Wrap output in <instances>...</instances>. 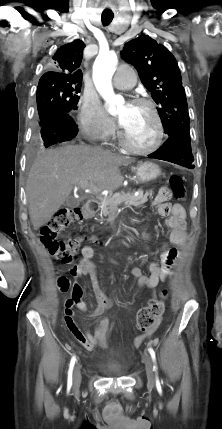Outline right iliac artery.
<instances>
[{
    "mask_svg": "<svg viewBox=\"0 0 222 429\" xmlns=\"http://www.w3.org/2000/svg\"><path fill=\"white\" fill-rule=\"evenodd\" d=\"M75 361H76V357L73 356L71 358L70 365H69V370H68V380H67V387H68V389H70L71 386H72V373H73V368H74V365H75Z\"/></svg>",
    "mask_w": 222,
    "mask_h": 429,
    "instance_id": "82829eb1",
    "label": "right iliac artery"
}]
</instances>
